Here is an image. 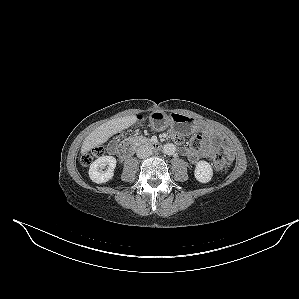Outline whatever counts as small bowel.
<instances>
[{
  "label": "small bowel",
  "instance_id": "small-bowel-1",
  "mask_svg": "<svg viewBox=\"0 0 299 299\" xmlns=\"http://www.w3.org/2000/svg\"><path fill=\"white\" fill-rule=\"evenodd\" d=\"M203 133V147L200 150H195L193 148H188L181 146L179 151L181 154L186 156L191 163H196L200 159L213 160L215 153L217 152L219 146L222 147L224 154L227 159L231 161L233 159V151L230 145L222 141L220 134L214 129H204ZM171 138L173 141L179 145H182V138L177 133L172 132Z\"/></svg>",
  "mask_w": 299,
  "mask_h": 299
}]
</instances>
